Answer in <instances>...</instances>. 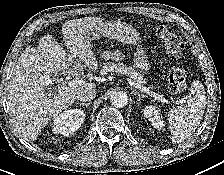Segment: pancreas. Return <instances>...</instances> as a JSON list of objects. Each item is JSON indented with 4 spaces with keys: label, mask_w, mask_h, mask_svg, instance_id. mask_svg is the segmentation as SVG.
Returning <instances> with one entry per match:
<instances>
[{
    "label": "pancreas",
    "mask_w": 224,
    "mask_h": 175,
    "mask_svg": "<svg viewBox=\"0 0 224 175\" xmlns=\"http://www.w3.org/2000/svg\"><path fill=\"white\" fill-rule=\"evenodd\" d=\"M108 55H112L114 58L117 56L116 53L111 52H105ZM102 74H114V73H120L127 77H129L134 82H137L139 84L146 83V79L142 76L141 73L135 71L133 68L128 67L124 65L123 63H114V62H108L104 64L101 68Z\"/></svg>",
    "instance_id": "1"
}]
</instances>
